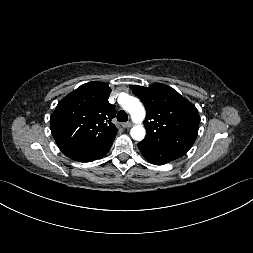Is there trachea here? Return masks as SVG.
Masks as SVG:
<instances>
[{"label":"trachea","instance_id":"trachea-1","mask_svg":"<svg viewBox=\"0 0 253 253\" xmlns=\"http://www.w3.org/2000/svg\"><path fill=\"white\" fill-rule=\"evenodd\" d=\"M117 120L120 122H126L128 120L127 113L123 110H120L117 114Z\"/></svg>","mask_w":253,"mask_h":253}]
</instances>
